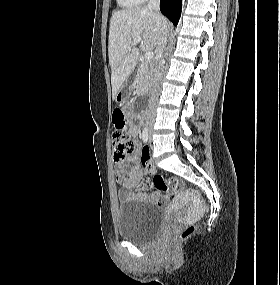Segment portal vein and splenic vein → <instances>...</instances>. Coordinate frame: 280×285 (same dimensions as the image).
Returning a JSON list of instances; mask_svg holds the SVG:
<instances>
[{
	"instance_id": "1",
	"label": "portal vein and splenic vein",
	"mask_w": 280,
	"mask_h": 285,
	"mask_svg": "<svg viewBox=\"0 0 280 285\" xmlns=\"http://www.w3.org/2000/svg\"><path fill=\"white\" fill-rule=\"evenodd\" d=\"M141 41H142L141 37H136L133 40V44L140 43ZM128 49L131 50V45L128 46ZM153 56H154V53L152 51H147L144 55V58L146 60H151L153 58Z\"/></svg>"
}]
</instances>
